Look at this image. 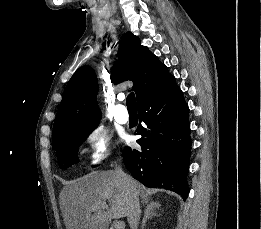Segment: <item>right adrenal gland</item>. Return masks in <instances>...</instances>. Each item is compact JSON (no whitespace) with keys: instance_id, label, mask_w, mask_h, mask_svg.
<instances>
[{"instance_id":"1","label":"right adrenal gland","mask_w":261,"mask_h":229,"mask_svg":"<svg viewBox=\"0 0 261 229\" xmlns=\"http://www.w3.org/2000/svg\"><path fill=\"white\" fill-rule=\"evenodd\" d=\"M157 211H161V207L160 205H158V203H150V205H147L144 211V217L142 219L141 229H145L148 219H153V217H161V215H159Z\"/></svg>"}]
</instances>
